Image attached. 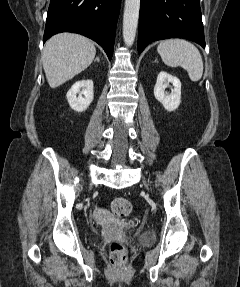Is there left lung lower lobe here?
Wrapping results in <instances>:
<instances>
[{
	"label": "left lung lower lobe",
	"instance_id": "1",
	"mask_svg": "<svg viewBox=\"0 0 240 287\" xmlns=\"http://www.w3.org/2000/svg\"><path fill=\"white\" fill-rule=\"evenodd\" d=\"M167 38L189 39L205 48L199 0H141L138 52Z\"/></svg>",
	"mask_w": 240,
	"mask_h": 287
}]
</instances>
